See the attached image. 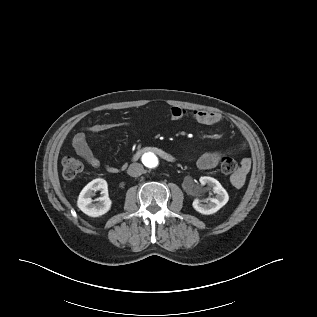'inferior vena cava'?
I'll use <instances>...</instances> for the list:
<instances>
[{"instance_id":"602c4592","label":"inferior vena cava","mask_w":317,"mask_h":317,"mask_svg":"<svg viewBox=\"0 0 317 317\" xmlns=\"http://www.w3.org/2000/svg\"><path fill=\"white\" fill-rule=\"evenodd\" d=\"M144 172V167L140 163H132L130 164L127 173L132 177H138L142 175Z\"/></svg>"}]
</instances>
